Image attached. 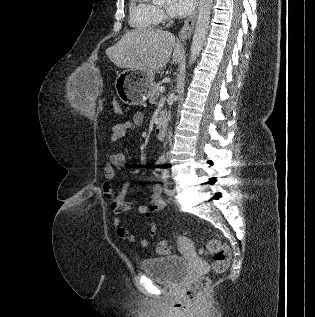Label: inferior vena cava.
<instances>
[{"mask_svg": "<svg viewBox=\"0 0 315 317\" xmlns=\"http://www.w3.org/2000/svg\"><path fill=\"white\" fill-rule=\"evenodd\" d=\"M170 137H171V132H169V136H168L169 140H170Z\"/></svg>", "mask_w": 315, "mask_h": 317, "instance_id": "inferior-vena-cava-1", "label": "inferior vena cava"}]
</instances>
